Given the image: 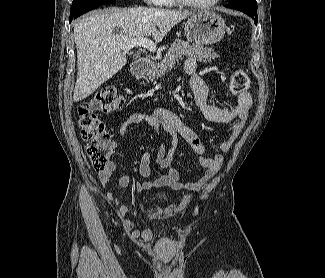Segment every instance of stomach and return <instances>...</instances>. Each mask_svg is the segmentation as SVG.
I'll return each instance as SVG.
<instances>
[{"mask_svg": "<svg viewBox=\"0 0 325 278\" xmlns=\"http://www.w3.org/2000/svg\"><path fill=\"white\" fill-rule=\"evenodd\" d=\"M185 35L197 44L212 45L221 41L226 32L222 17L211 11H198L185 22Z\"/></svg>", "mask_w": 325, "mask_h": 278, "instance_id": "0dacf381", "label": "stomach"}]
</instances>
